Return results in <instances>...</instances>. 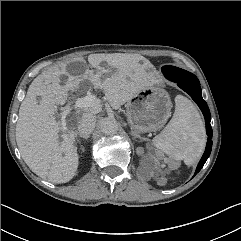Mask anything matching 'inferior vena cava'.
<instances>
[{"label":"inferior vena cava","mask_w":241,"mask_h":241,"mask_svg":"<svg viewBox=\"0 0 241 241\" xmlns=\"http://www.w3.org/2000/svg\"><path fill=\"white\" fill-rule=\"evenodd\" d=\"M96 125V116L91 112H85L82 114L77 128L80 134L89 135L93 132Z\"/></svg>","instance_id":"obj_1"}]
</instances>
